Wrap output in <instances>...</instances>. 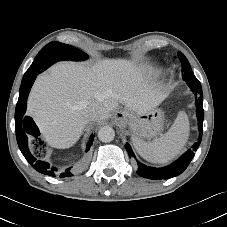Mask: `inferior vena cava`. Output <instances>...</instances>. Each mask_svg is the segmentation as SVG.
<instances>
[{
    "mask_svg": "<svg viewBox=\"0 0 227 227\" xmlns=\"http://www.w3.org/2000/svg\"><path fill=\"white\" fill-rule=\"evenodd\" d=\"M84 111L86 114V117L89 119H93L96 117L98 113V107L97 105L89 104V103H84L83 104Z\"/></svg>",
    "mask_w": 227,
    "mask_h": 227,
    "instance_id": "602c4592",
    "label": "inferior vena cava"
}]
</instances>
